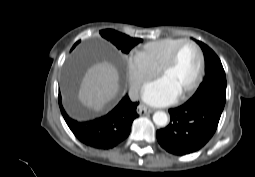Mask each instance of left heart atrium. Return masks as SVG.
<instances>
[{
    "mask_svg": "<svg viewBox=\"0 0 255 177\" xmlns=\"http://www.w3.org/2000/svg\"><path fill=\"white\" fill-rule=\"evenodd\" d=\"M178 96L176 89L162 77L148 84L142 94L143 100L152 106L171 104Z\"/></svg>",
    "mask_w": 255,
    "mask_h": 177,
    "instance_id": "left-heart-atrium-1",
    "label": "left heart atrium"
}]
</instances>
